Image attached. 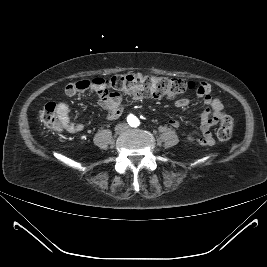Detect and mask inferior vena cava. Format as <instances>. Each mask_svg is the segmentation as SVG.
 <instances>
[{
  "mask_svg": "<svg viewBox=\"0 0 267 267\" xmlns=\"http://www.w3.org/2000/svg\"><path fill=\"white\" fill-rule=\"evenodd\" d=\"M120 127H123V128H126V125H119V126H117V128H120Z\"/></svg>",
  "mask_w": 267,
  "mask_h": 267,
  "instance_id": "obj_1",
  "label": "inferior vena cava"
}]
</instances>
